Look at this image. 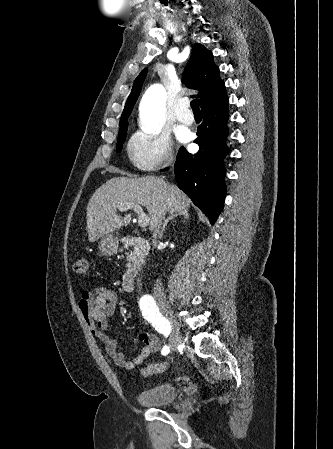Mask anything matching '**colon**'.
<instances>
[{
  "mask_svg": "<svg viewBox=\"0 0 333 449\" xmlns=\"http://www.w3.org/2000/svg\"><path fill=\"white\" fill-rule=\"evenodd\" d=\"M90 262L88 257L83 256L77 259L73 265V270L80 274L86 275L89 272ZM166 369L165 363H152L142 369L144 376H151L163 372Z\"/></svg>",
  "mask_w": 333,
  "mask_h": 449,
  "instance_id": "1",
  "label": "colon"
}]
</instances>
